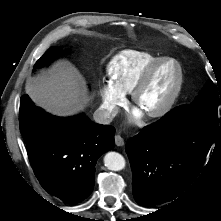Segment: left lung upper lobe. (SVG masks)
Listing matches in <instances>:
<instances>
[{"label":"left lung upper lobe","instance_id":"5c2ea615","mask_svg":"<svg viewBox=\"0 0 221 221\" xmlns=\"http://www.w3.org/2000/svg\"><path fill=\"white\" fill-rule=\"evenodd\" d=\"M168 120L180 126H208L221 128L218 119L215 89L209 81L200 95L189 105L175 108L167 115Z\"/></svg>","mask_w":221,"mask_h":221}]
</instances>
